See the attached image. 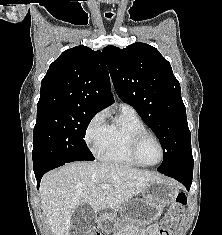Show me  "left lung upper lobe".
Instances as JSON below:
<instances>
[{"label":"left lung upper lobe","mask_w":222,"mask_h":235,"mask_svg":"<svg viewBox=\"0 0 222 235\" xmlns=\"http://www.w3.org/2000/svg\"><path fill=\"white\" fill-rule=\"evenodd\" d=\"M119 98L134 107L159 138L164 157L158 171L193 170L191 137L181 88L160 52L137 42L102 51Z\"/></svg>","instance_id":"5c2ea615"}]
</instances>
